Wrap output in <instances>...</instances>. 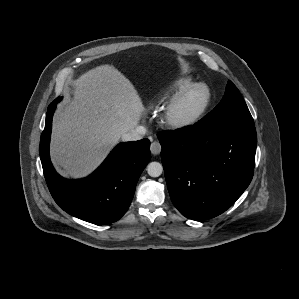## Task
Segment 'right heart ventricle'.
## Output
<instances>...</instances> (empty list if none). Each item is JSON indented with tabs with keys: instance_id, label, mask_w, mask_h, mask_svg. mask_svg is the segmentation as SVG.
<instances>
[{
	"instance_id": "e07e8e85",
	"label": "right heart ventricle",
	"mask_w": 299,
	"mask_h": 299,
	"mask_svg": "<svg viewBox=\"0 0 299 299\" xmlns=\"http://www.w3.org/2000/svg\"><path fill=\"white\" fill-rule=\"evenodd\" d=\"M194 83L192 77H181L172 82L164 91L156 96L151 102L150 106L157 110L161 109L166 103L171 101L177 94H179L186 87Z\"/></svg>"
}]
</instances>
